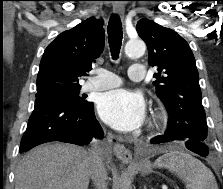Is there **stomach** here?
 Wrapping results in <instances>:
<instances>
[{
    "label": "stomach",
    "instance_id": "stomach-1",
    "mask_svg": "<svg viewBox=\"0 0 223 189\" xmlns=\"http://www.w3.org/2000/svg\"><path fill=\"white\" fill-rule=\"evenodd\" d=\"M138 170L142 173V174H148L151 172V164L150 162L146 161L143 162L142 164L139 165Z\"/></svg>",
    "mask_w": 223,
    "mask_h": 189
}]
</instances>
